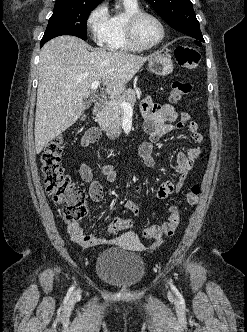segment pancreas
I'll use <instances>...</instances> for the list:
<instances>
[{
  "label": "pancreas",
  "mask_w": 247,
  "mask_h": 332,
  "mask_svg": "<svg viewBox=\"0 0 247 332\" xmlns=\"http://www.w3.org/2000/svg\"><path fill=\"white\" fill-rule=\"evenodd\" d=\"M122 101L130 103L133 107L136 103L135 90L127 89L115 102L120 103ZM123 117L124 109L120 105H110L106 107L98 123L110 139H115L121 134Z\"/></svg>",
  "instance_id": "cf45deb5"
}]
</instances>
